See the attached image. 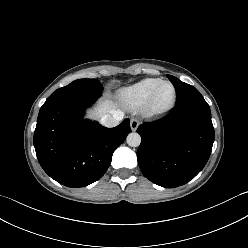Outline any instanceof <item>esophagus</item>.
I'll list each match as a JSON object with an SVG mask.
<instances>
[{"label":"esophagus","instance_id":"34e87169","mask_svg":"<svg viewBox=\"0 0 248 248\" xmlns=\"http://www.w3.org/2000/svg\"><path fill=\"white\" fill-rule=\"evenodd\" d=\"M139 126V121L135 118L131 119L130 121V127L132 131H136Z\"/></svg>","mask_w":248,"mask_h":248}]
</instances>
